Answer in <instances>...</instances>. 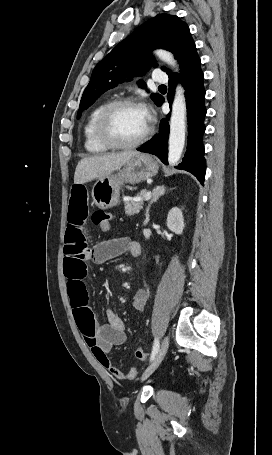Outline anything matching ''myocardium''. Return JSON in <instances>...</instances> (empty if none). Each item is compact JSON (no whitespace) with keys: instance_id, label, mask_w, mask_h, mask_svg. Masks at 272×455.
<instances>
[{"instance_id":"f54148a6","label":"myocardium","mask_w":272,"mask_h":455,"mask_svg":"<svg viewBox=\"0 0 272 455\" xmlns=\"http://www.w3.org/2000/svg\"><path fill=\"white\" fill-rule=\"evenodd\" d=\"M123 106H136L142 108V105L131 97H123L115 99L109 103H107L102 110L99 112L94 126L95 136L97 140L103 144L104 146L108 147L109 149H118V150H125V149H133L141 144H143L149 137L151 133V125L148 121L147 127L144 133L135 141L129 143H122L117 141L110 133L108 128V121L111 114L118 108Z\"/></svg>"}]
</instances>
